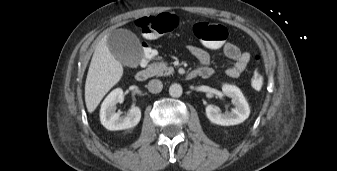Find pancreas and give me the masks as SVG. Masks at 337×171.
Returning <instances> with one entry per match:
<instances>
[{
  "label": "pancreas",
  "mask_w": 337,
  "mask_h": 171,
  "mask_svg": "<svg viewBox=\"0 0 337 171\" xmlns=\"http://www.w3.org/2000/svg\"><path fill=\"white\" fill-rule=\"evenodd\" d=\"M149 70L152 72L153 75L156 76L169 75L174 72V69L172 67H168L167 63L163 61L153 63L152 65H150Z\"/></svg>",
  "instance_id": "1"
}]
</instances>
